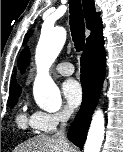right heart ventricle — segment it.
Instances as JSON below:
<instances>
[{
    "instance_id": "1",
    "label": "right heart ventricle",
    "mask_w": 123,
    "mask_h": 152,
    "mask_svg": "<svg viewBox=\"0 0 123 152\" xmlns=\"http://www.w3.org/2000/svg\"><path fill=\"white\" fill-rule=\"evenodd\" d=\"M32 117L33 114L28 115L24 110H21L16 117V122L18 126L21 127L22 129H27V128L35 129L33 125Z\"/></svg>"
}]
</instances>
